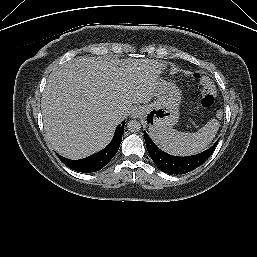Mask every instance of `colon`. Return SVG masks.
<instances>
[{
  "label": "colon",
  "mask_w": 257,
  "mask_h": 257,
  "mask_svg": "<svg viewBox=\"0 0 257 257\" xmlns=\"http://www.w3.org/2000/svg\"><path fill=\"white\" fill-rule=\"evenodd\" d=\"M195 79L200 85V105L203 108H210L216 99L217 89L212 80L202 74H195Z\"/></svg>",
  "instance_id": "5ec220e1"
}]
</instances>
